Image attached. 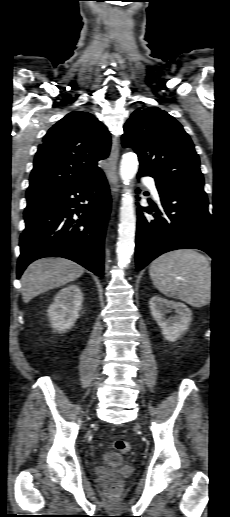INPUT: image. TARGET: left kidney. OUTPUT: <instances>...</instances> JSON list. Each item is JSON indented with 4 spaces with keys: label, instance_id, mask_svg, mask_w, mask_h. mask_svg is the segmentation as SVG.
Returning <instances> with one entry per match:
<instances>
[{
    "label": "left kidney",
    "instance_id": "left-kidney-1",
    "mask_svg": "<svg viewBox=\"0 0 230 517\" xmlns=\"http://www.w3.org/2000/svg\"><path fill=\"white\" fill-rule=\"evenodd\" d=\"M151 314L167 341L174 342L186 331L192 320L191 310L181 302L170 301L159 296H153L149 301ZM175 311V315L166 318V314Z\"/></svg>",
    "mask_w": 230,
    "mask_h": 517
}]
</instances>
